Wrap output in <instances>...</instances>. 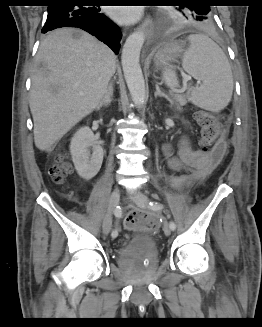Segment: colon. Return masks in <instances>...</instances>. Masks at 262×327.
Masks as SVG:
<instances>
[{
    "label": "colon",
    "instance_id": "5ec220e1",
    "mask_svg": "<svg viewBox=\"0 0 262 327\" xmlns=\"http://www.w3.org/2000/svg\"><path fill=\"white\" fill-rule=\"evenodd\" d=\"M195 119L200 127L199 146L201 151L210 152V164L212 167H216L223 161L227 153V143L221 137V124L214 114L203 109L195 111ZM70 172V165L63 156H59L50 169V176L55 183L62 184ZM140 224L154 226L157 224V218L146 214L131 213L124 219V226L128 229H133Z\"/></svg>",
    "mask_w": 262,
    "mask_h": 327
}]
</instances>
